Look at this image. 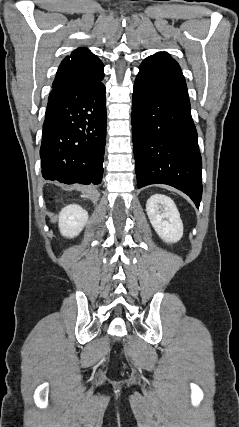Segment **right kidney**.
<instances>
[{
	"label": "right kidney",
	"instance_id": "obj_1",
	"mask_svg": "<svg viewBox=\"0 0 239 427\" xmlns=\"http://www.w3.org/2000/svg\"><path fill=\"white\" fill-rule=\"evenodd\" d=\"M88 221V213L79 205H68L59 214L60 233L68 238L76 237Z\"/></svg>",
	"mask_w": 239,
	"mask_h": 427
}]
</instances>
